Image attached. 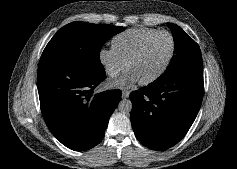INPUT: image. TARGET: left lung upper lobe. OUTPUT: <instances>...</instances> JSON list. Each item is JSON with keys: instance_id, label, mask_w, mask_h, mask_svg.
<instances>
[{"instance_id": "5c2ea615", "label": "left lung upper lobe", "mask_w": 237, "mask_h": 169, "mask_svg": "<svg viewBox=\"0 0 237 169\" xmlns=\"http://www.w3.org/2000/svg\"><path fill=\"white\" fill-rule=\"evenodd\" d=\"M167 25L171 29L174 38V56L159 79L203 68L201 51L197 43L179 26L172 23Z\"/></svg>"}]
</instances>
